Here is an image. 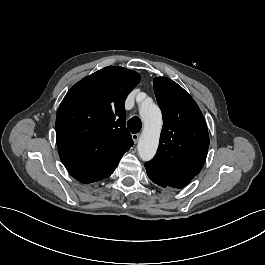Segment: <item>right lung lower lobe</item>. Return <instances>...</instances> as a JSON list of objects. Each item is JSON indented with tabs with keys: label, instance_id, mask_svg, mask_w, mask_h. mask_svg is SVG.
Returning a JSON list of instances; mask_svg holds the SVG:
<instances>
[{
	"label": "right lung lower lobe",
	"instance_id": "right-lung-lower-lobe-1",
	"mask_svg": "<svg viewBox=\"0 0 265 265\" xmlns=\"http://www.w3.org/2000/svg\"><path fill=\"white\" fill-rule=\"evenodd\" d=\"M118 163L111 165H78L65 163L64 166L70 175L79 182L89 184L109 177L114 172Z\"/></svg>",
	"mask_w": 265,
	"mask_h": 265
}]
</instances>
